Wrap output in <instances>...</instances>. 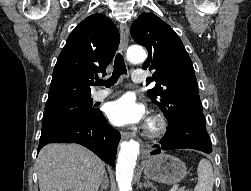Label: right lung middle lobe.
Listing matches in <instances>:
<instances>
[{"mask_svg": "<svg viewBox=\"0 0 251 191\" xmlns=\"http://www.w3.org/2000/svg\"><path fill=\"white\" fill-rule=\"evenodd\" d=\"M98 115H100V111L94 108L93 100L89 98L82 101L45 108L42 118V127L70 117H85L92 119Z\"/></svg>", "mask_w": 251, "mask_h": 191, "instance_id": "dd1d6c3e", "label": "right lung middle lobe"}]
</instances>
